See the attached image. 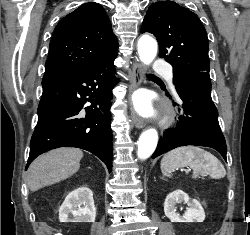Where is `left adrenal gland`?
Segmentation results:
<instances>
[{"mask_svg": "<svg viewBox=\"0 0 250 235\" xmlns=\"http://www.w3.org/2000/svg\"><path fill=\"white\" fill-rule=\"evenodd\" d=\"M161 179H164L165 180V178L162 176V177H160Z\"/></svg>", "mask_w": 250, "mask_h": 235, "instance_id": "obj_1", "label": "left adrenal gland"}]
</instances>
